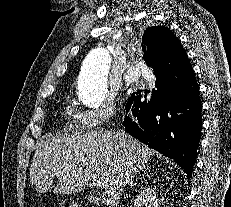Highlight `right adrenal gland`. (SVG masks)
Masks as SVG:
<instances>
[{
    "instance_id": "right-adrenal-gland-1",
    "label": "right adrenal gland",
    "mask_w": 231,
    "mask_h": 207,
    "mask_svg": "<svg viewBox=\"0 0 231 207\" xmlns=\"http://www.w3.org/2000/svg\"><path fill=\"white\" fill-rule=\"evenodd\" d=\"M145 169H146L145 166H143L141 171H142V172H145ZM137 179H138V174H137L136 179H135L136 182H137ZM135 184H136V183L133 184L132 181L130 182V186H133V185H135Z\"/></svg>"
}]
</instances>
